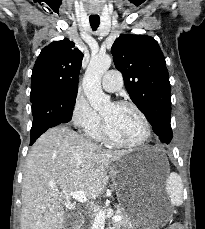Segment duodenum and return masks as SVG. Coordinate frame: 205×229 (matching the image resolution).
<instances>
[{
	"label": "duodenum",
	"mask_w": 205,
	"mask_h": 229,
	"mask_svg": "<svg viewBox=\"0 0 205 229\" xmlns=\"http://www.w3.org/2000/svg\"><path fill=\"white\" fill-rule=\"evenodd\" d=\"M80 223H81V219L78 218V220H77L75 226H73V227H71V228H68V229H78V225H79Z\"/></svg>",
	"instance_id": "duodenum-1"
}]
</instances>
